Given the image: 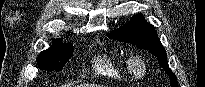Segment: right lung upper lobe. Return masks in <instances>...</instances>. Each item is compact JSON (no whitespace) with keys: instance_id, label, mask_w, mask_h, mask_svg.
<instances>
[{"instance_id":"obj_1","label":"right lung upper lobe","mask_w":205,"mask_h":87,"mask_svg":"<svg viewBox=\"0 0 205 87\" xmlns=\"http://www.w3.org/2000/svg\"><path fill=\"white\" fill-rule=\"evenodd\" d=\"M52 43H53V44H63V43H62V39H54V40L52 41ZM67 45H72V44H67Z\"/></svg>"}]
</instances>
